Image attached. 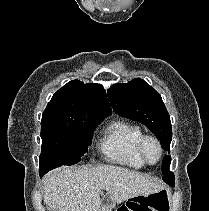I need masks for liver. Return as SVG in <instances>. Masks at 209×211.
<instances>
[{"instance_id": "1", "label": "liver", "mask_w": 209, "mask_h": 211, "mask_svg": "<svg viewBox=\"0 0 209 211\" xmlns=\"http://www.w3.org/2000/svg\"><path fill=\"white\" fill-rule=\"evenodd\" d=\"M163 186L148 176L126 168L64 166L44 177V203L55 211H105L100 191L106 190L113 204L147 196Z\"/></svg>"}]
</instances>
